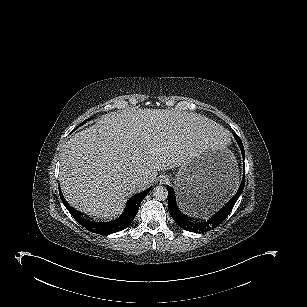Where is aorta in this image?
<instances>
[{
    "instance_id": "aorta-1",
    "label": "aorta",
    "mask_w": 307,
    "mask_h": 307,
    "mask_svg": "<svg viewBox=\"0 0 307 307\" xmlns=\"http://www.w3.org/2000/svg\"><path fill=\"white\" fill-rule=\"evenodd\" d=\"M153 196L158 201H164L168 198V191L163 186H157L154 188Z\"/></svg>"
}]
</instances>
